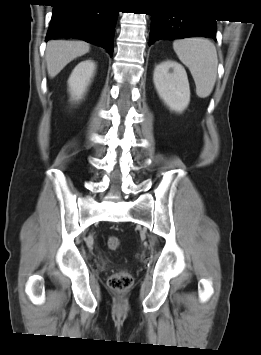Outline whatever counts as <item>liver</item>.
Returning <instances> with one entry per match:
<instances>
[{"label":"liver","instance_id":"obj_1","mask_svg":"<svg viewBox=\"0 0 261 355\" xmlns=\"http://www.w3.org/2000/svg\"><path fill=\"white\" fill-rule=\"evenodd\" d=\"M89 49V44L83 41H50L45 54L49 77L54 78L69 62L86 54Z\"/></svg>","mask_w":261,"mask_h":355}]
</instances>
